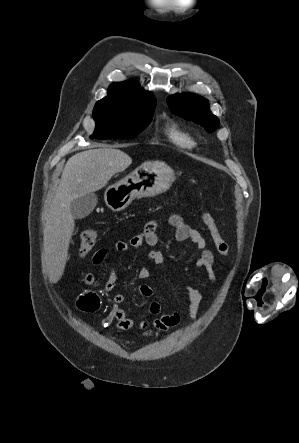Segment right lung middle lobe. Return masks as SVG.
I'll return each mask as SVG.
<instances>
[{
  "instance_id": "obj_1",
  "label": "right lung middle lobe",
  "mask_w": 299,
  "mask_h": 443,
  "mask_svg": "<svg viewBox=\"0 0 299 443\" xmlns=\"http://www.w3.org/2000/svg\"><path fill=\"white\" fill-rule=\"evenodd\" d=\"M154 108L120 102H97L93 110L96 128L91 139L133 138L149 125Z\"/></svg>"
}]
</instances>
